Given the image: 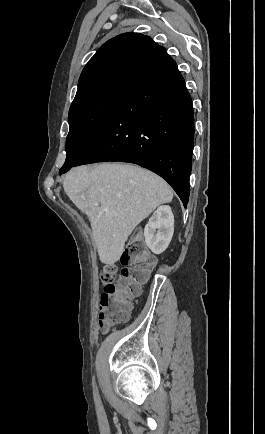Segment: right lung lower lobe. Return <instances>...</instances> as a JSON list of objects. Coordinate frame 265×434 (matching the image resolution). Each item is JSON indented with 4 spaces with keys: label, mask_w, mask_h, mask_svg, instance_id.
Segmentation results:
<instances>
[{
    "label": "right lung lower lobe",
    "mask_w": 265,
    "mask_h": 434,
    "mask_svg": "<svg viewBox=\"0 0 265 434\" xmlns=\"http://www.w3.org/2000/svg\"><path fill=\"white\" fill-rule=\"evenodd\" d=\"M193 147L191 96L176 62L165 52L135 74L103 130L73 167L107 161L140 165L164 178L186 207Z\"/></svg>",
    "instance_id": "1"
}]
</instances>
